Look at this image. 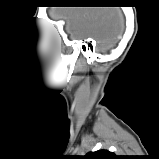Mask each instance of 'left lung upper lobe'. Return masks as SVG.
Instances as JSON below:
<instances>
[{"label": "left lung upper lobe", "instance_id": "5c2ea615", "mask_svg": "<svg viewBox=\"0 0 159 159\" xmlns=\"http://www.w3.org/2000/svg\"><path fill=\"white\" fill-rule=\"evenodd\" d=\"M82 159H119L113 152L107 150H99L96 152H90L87 155L81 157Z\"/></svg>", "mask_w": 159, "mask_h": 159}]
</instances>
